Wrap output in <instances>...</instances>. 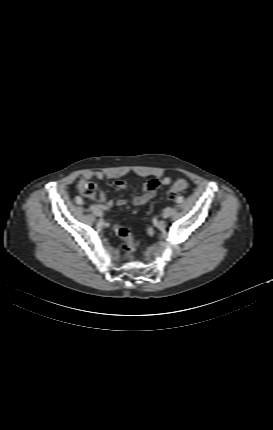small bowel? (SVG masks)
Masks as SVG:
<instances>
[{
	"label": "small bowel",
	"mask_w": 273,
	"mask_h": 430,
	"mask_svg": "<svg viewBox=\"0 0 273 430\" xmlns=\"http://www.w3.org/2000/svg\"><path fill=\"white\" fill-rule=\"evenodd\" d=\"M104 173L102 171H87L84 174L85 178L91 179V178H96V179H102L104 178ZM171 178L170 177H163L162 179H151L146 181L143 184V192L142 193H138L136 194L133 199L132 202L134 205L136 206H142L147 204L149 201H151L158 193V191L164 187L167 186L171 183ZM115 185L118 189L121 190H125L128 187V183L125 180H117L115 182ZM100 201L104 204L105 207L110 208L114 205V201L107 199L106 194L104 192L100 193ZM78 204H83L84 201L82 200L77 201ZM127 199L125 198H119L116 201V205L119 207L125 206L127 204Z\"/></svg>",
	"instance_id": "small-bowel-1"
}]
</instances>
